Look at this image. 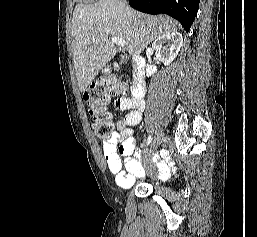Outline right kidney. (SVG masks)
<instances>
[{
	"label": "right kidney",
	"instance_id": "ca27d5eb",
	"mask_svg": "<svg viewBox=\"0 0 257 237\" xmlns=\"http://www.w3.org/2000/svg\"><path fill=\"white\" fill-rule=\"evenodd\" d=\"M183 44V37L180 33L169 32L157 38L153 44L152 49L155 52L156 57L164 63V65H170V63L176 58L180 48ZM156 73V68L152 65H147L146 74L148 77Z\"/></svg>",
	"mask_w": 257,
	"mask_h": 237
}]
</instances>
